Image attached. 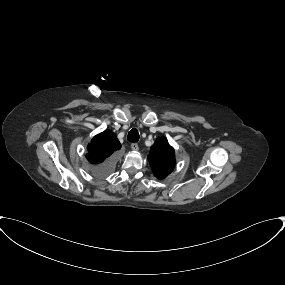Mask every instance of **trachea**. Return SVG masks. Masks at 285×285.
Here are the masks:
<instances>
[{"label": "trachea", "mask_w": 285, "mask_h": 285, "mask_svg": "<svg viewBox=\"0 0 285 285\" xmlns=\"http://www.w3.org/2000/svg\"><path fill=\"white\" fill-rule=\"evenodd\" d=\"M128 141L130 142H137L139 140V133L136 128H133L132 130L129 131L128 136H127Z\"/></svg>", "instance_id": "1"}]
</instances>
